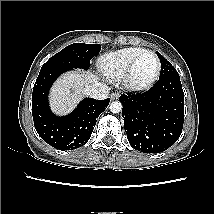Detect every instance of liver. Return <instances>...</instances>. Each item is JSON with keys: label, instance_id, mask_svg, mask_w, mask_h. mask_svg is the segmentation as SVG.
<instances>
[{"label": "liver", "instance_id": "liver-1", "mask_svg": "<svg viewBox=\"0 0 214 214\" xmlns=\"http://www.w3.org/2000/svg\"><path fill=\"white\" fill-rule=\"evenodd\" d=\"M98 82L92 72H67L53 85L50 106L54 113L65 115L72 111L85 94V88Z\"/></svg>", "mask_w": 214, "mask_h": 214}]
</instances>
